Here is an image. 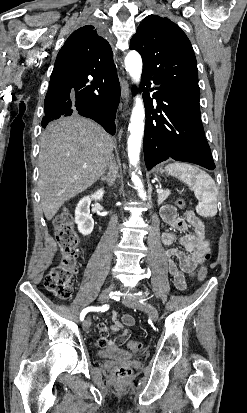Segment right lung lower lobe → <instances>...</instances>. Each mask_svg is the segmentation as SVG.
<instances>
[{"mask_svg": "<svg viewBox=\"0 0 247 413\" xmlns=\"http://www.w3.org/2000/svg\"><path fill=\"white\" fill-rule=\"evenodd\" d=\"M120 100L117 71L101 75L52 72L44 102L42 127L61 116L80 114L115 134V116Z\"/></svg>", "mask_w": 247, "mask_h": 413, "instance_id": "98d812e1", "label": "right lung lower lobe"}]
</instances>
